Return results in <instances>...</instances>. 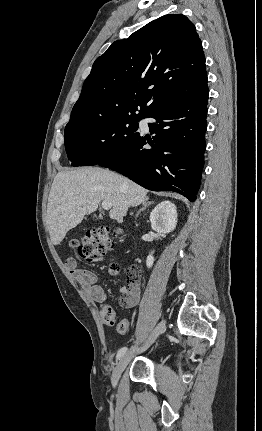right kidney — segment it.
Listing matches in <instances>:
<instances>
[{"instance_id":"1","label":"right kidney","mask_w":262,"mask_h":431,"mask_svg":"<svg viewBox=\"0 0 262 431\" xmlns=\"http://www.w3.org/2000/svg\"><path fill=\"white\" fill-rule=\"evenodd\" d=\"M151 227L158 233H169L173 231L177 224L176 206L170 201H163L158 204L150 213ZM154 257L150 254L147 257L146 265L151 268Z\"/></svg>"}]
</instances>
